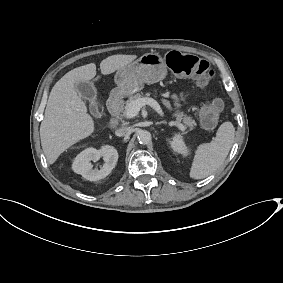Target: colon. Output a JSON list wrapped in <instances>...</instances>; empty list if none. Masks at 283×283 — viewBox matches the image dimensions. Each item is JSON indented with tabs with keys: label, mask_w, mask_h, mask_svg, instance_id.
Returning a JSON list of instances; mask_svg holds the SVG:
<instances>
[{
	"label": "colon",
	"mask_w": 283,
	"mask_h": 283,
	"mask_svg": "<svg viewBox=\"0 0 283 283\" xmlns=\"http://www.w3.org/2000/svg\"><path fill=\"white\" fill-rule=\"evenodd\" d=\"M168 67L177 75L190 76L200 84L208 83L214 76V70L209 63L197 56L171 51L166 56ZM222 103L214 99L204 103L200 109V119L207 128H212L218 121Z\"/></svg>",
	"instance_id": "5ec220e1"
}]
</instances>
